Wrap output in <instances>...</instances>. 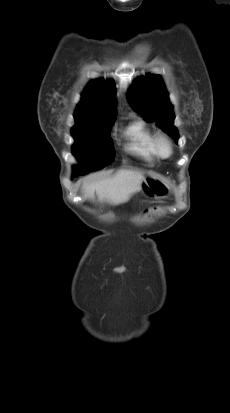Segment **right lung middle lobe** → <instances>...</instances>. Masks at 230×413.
<instances>
[{
  "instance_id": "dd1d6c3e",
  "label": "right lung middle lobe",
  "mask_w": 230,
  "mask_h": 413,
  "mask_svg": "<svg viewBox=\"0 0 230 413\" xmlns=\"http://www.w3.org/2000/svg\"><path fill=\"white\" fill-rule=\"evenodd\" d=\"M114 121H101L72 129V136L75 139V144L72 146L73 154L82 164L73 167V177L99 170L114 159L113 146L109 136ZM95 162H98V167L88 170Z\"/></svg>"
}]
</instances>
